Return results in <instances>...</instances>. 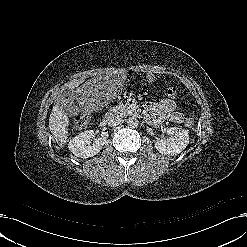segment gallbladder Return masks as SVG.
<instances>
[{"instance_id": "obj_1", "label": "gallbladder", "mask_w": 247, "mask_h": 247, "mask_svg": "<svg viewBox=\"0 0 247 247\" xmlns=\"http://www.w3.org/2000/svg\"><path fill=\"white\" fill-rule=\"evenodd\" d=\"M71 94L72 90L67 88L63 91L62 95L60 96V99H62L65 102L63 109L66 113L69 114H73L75 112V107L70 103Z\"/></svg>"}]
</instances>
